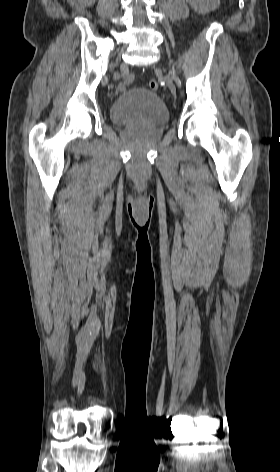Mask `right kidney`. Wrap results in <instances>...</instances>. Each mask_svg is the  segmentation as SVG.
<instances>
[{
	"mask_svg": "<svg viewBox=\"0 0 280 472\" xmlns=\"http://www.w3.org/2000/svg\"><path fill=\"white\" fill-rule=\"evenodd\" d=\"M93 2H95V0H84V4L85 5H91Z\"/></svg>",
	"mask_w": 280,
	"mask_h": 472,
	"instance_id": "obj_1",
	"label": "right kidney"
}]
</instances>
